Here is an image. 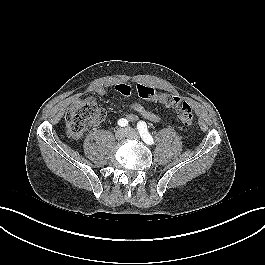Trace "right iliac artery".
Returning a JSON list of instances; mask_svg holds the SVG:
<instances>
[{
	"instance_id": "obj_1",
	"label": "right iliac artery",
	"mask_w": 265,
	"mask_h": 265,
	"mask_svg": "<svg viewBox=\"0 0 265 265\" xmlns=\"http://www.w3.org/2000/svg\"><path fill=\"white\" fill-rule=\"evenodd\" d=\"M118 125L121 126V127H125V126H128V121L124 118H121L118 120Z\"/></svg>"
}]
</instances>
